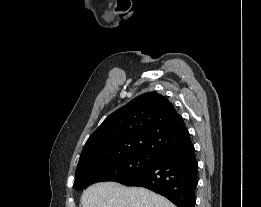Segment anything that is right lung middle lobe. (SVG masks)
Listing matches in <instances>:
<instances>
[{"mask_svg": "<svg viewBox=\"0 0 261 207\" xmlns=\"http://www.w3.org/2000/svg\"><path fill=\"white\" fill-rule=\"evenodd\" d=\"M151 162L149 156L128 155L87 164L76 169L74 185L83 190L97 182H119L144 170Z\"/></svg>", "mask_w": 261, "mask_h": 207, "instance_id": "right-lung-middle-lobe-1", "label": "right lung middle lobe"}]
</instances>
